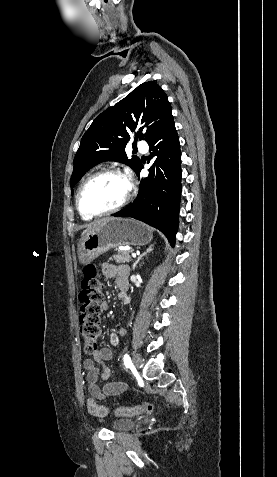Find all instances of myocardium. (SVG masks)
Here are the masks:
<instances>
[{"label": "myocardium", "mask_w": 277, "mask_h": 477, "mask_svg": "<svg viewBox=\"0 0 277 477\" xmlns=\"http://www.w3.org/2000/svg\"><path fill=\"white\" fill-rule=\"evenodd\" d=\"M106 174L121 176L127 181L128 188H127V192H126L124 198L116 206H114L112 208H109L107 210H104V211H101V212H87V211H85L82 207V201H81L82 194H83V191H84L85 187L88 185V183L90 181H92L96 177L101 176V175H106ZM131 196H132V187H131L130 183L128 182L124 173L117 168H104V169H101V170L93 173L92 175H90L82 183V185L80 186V188L77 192V195H76V206H77V209H78L79 213L83 216H87V217H91V218L100 217V216H105V215L115 213V212L121 210L122 208H124L129 203V201L131 199Z\"/></svg>", "instance_id": "1"}]
</instances>
